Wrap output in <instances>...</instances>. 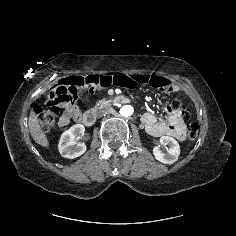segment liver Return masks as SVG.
<instances>
[{
    "label": "liver",
    "instance_id": "6515ba94",
    "mask_svg": "<svg viewBox=\"0 0 236 236\" xmlns=\"http://www.w3.org/2000/svg\"><path fill=\"white\" fill-rule=\"evenodd\" d=\"M28 124H29L30 134L34 139V141L43 147H48L49 146L48 139L46 138V135L43 133L38 123L37 115L35 114L34 111L30 112Z\"/></svg>",
    "mask_w": 236,
    "mask_h": 236
}]
</instances>
